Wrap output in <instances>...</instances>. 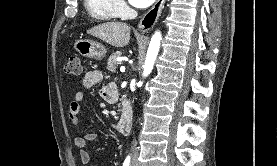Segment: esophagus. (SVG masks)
I'll return each mask as SVG.
<instances>
[{"label":"esophagus","mask_w":277,"mask_h":166,"mask_svg":"<svg viewBox=\"0 0 277 166\" xmlns=\"http://www.w3.org/2000/svg\"><path fill=\"white\" fill-rule=\"evenodd\" d=\"M165 0H157L154 6L142 17L138 24V29L145 33L153 28L161 15Z\"/></svg>","instance_id":"esophagus-1"}]
</instances>
